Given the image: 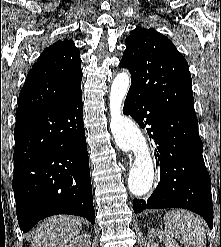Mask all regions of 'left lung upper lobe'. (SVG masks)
<instances>
[{
    "label": "left lung upper lobe",
    "instance_id": "1",
    "mask_svg": "<svg viewBox=\"0 0 221 247\" xmlns=\"http://www.w3.org/2000/svg\"><path fill=\"white\" fill-rule=\"evenodd\" d=\"M120 62L131 73L130 92L175 113L196 117L188 63L175 45L153 28L136 27Z\"/></svg>",
    "mask_w": 221,
    "mask_h": 247
}]
</instances>
